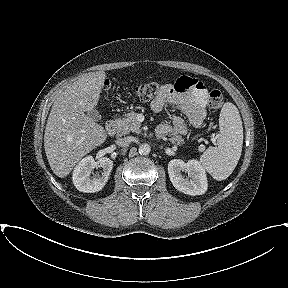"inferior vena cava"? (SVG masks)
Listing matches in <instances>:
<instances>
[{"label":"inferior vena cava","mask_w":288,"mask_h":288,"mask_svg":"<svg viewBox=\"0 0 288 288\" xmlns=\"http://www.w3.org/2000/svg\"><path fill=\"white\" fill-rule=\"evenodd\" d=\"M132 141H133V137L128 136V137L119 138L116 141V144L121 147H128L132 143Z\"/></svg>","instance_id":"602c4592"}]
</instances>
